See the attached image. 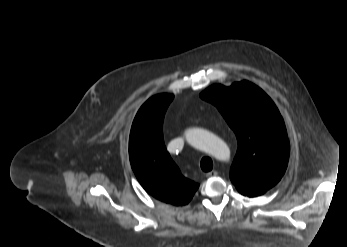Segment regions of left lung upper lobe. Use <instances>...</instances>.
<instances>
[{"label": "left lung upper lobe", "instance_id": "1", "mask_svg": "<svg viewBox=\"0 0 347 247\" xmlns=\"http://www.w3.org/2000/svg\"><path fill=\"white\" fill-rule=\"evenodd\" d=\"M200 97L218 108L236 135L238 150L230 179L237 190L254 197L276 185L287 168L289 141L270 97L248 81L230 87L214 84Z\"/></svg>", "mask_w": 347, "mask_h": 247}]
</instances>
